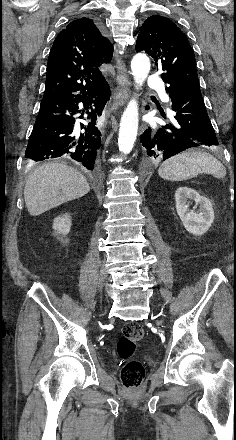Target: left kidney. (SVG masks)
I'll list each match as a JSON object with an SVG mask.
<instances>
[{
  "label": "left kidney",
  "instance_id": "obj_1",
  "mask_svg": "<svg viewBox=\"0 0 236 440\" xmlns=\"http://www.w3.org/2000/svg\"><path fill=\"white\" fill-rule=\"evenodd\" d=\"M192 201L198 210L190 209ZM176 211L185 229L193 235L206 233L214 221L213 205L209 199L188 187H179L175 192Z\"/></svg>",
  "mask_w": 236,
  "mask_h": 440
}]
</instances>
